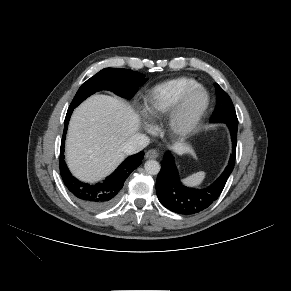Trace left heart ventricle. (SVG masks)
Segmentation results:
<instances>
[{"label":"left heart ventricle","mask_w":291,"mask_h":291,"mask_svg":"<svg viewBox=\"0 0 291 291\" xmlns=\"http://www.w3.org/2000/svg\"><path fill=\"white\" fill-rule=\"evenodd\" d=\"M202 104H203V95L201 93H198L189 102L186 112H185V117L189 118L193 116L199 110Z\"/></svg>","instance_id":"b2bd125f"}]
</instances>
